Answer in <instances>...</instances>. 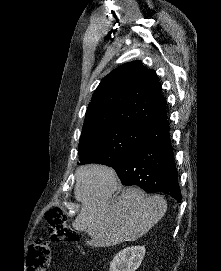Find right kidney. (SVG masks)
Here are the masks:
<instances>
[{
    "instance_id": "ca27d5eb",
    "label": "right kidney",
    "mask_w": 221,
    "mask_h": 271,
    "mask_svg": "<svg viewBox=\"0 0 221 271\" xmlns=\"http://www.w3.org/2000/svg\"><path fill=\"white\" fill-rule=\"evenodd\" d=\"M144 245H130L120 249L110 261L109 271H136L144 255Z\"/></svg>"
}]
</instances>
